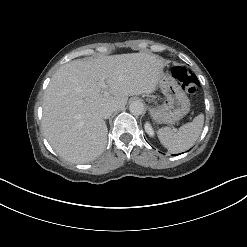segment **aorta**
<instances>
[{
    "label": "aorta",
    "mask_w": 247,
    "mask_h": 247,
    "mask_svg": "<svg viewBox=\"0 0 247 247\" xmlns=\"http://www.w3.org/2000/svg\"><path fill=\"white\" fill-rule=\"evenodd\" d=\"M129 110L133 115L139 116L144 112V104L139 100L133 101L129 106Z\"/></svg>",
    "instance_id": "aorta-1"
}]
</instances>
